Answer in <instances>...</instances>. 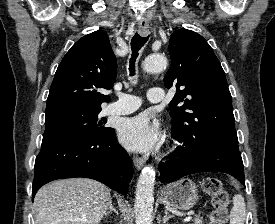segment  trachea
Masks as SVG:
<instances>
[{"label":"trachea","mask_w":275,"mask_h":224,"mask_svg":"<svg viewBox=\"0 0 275 224\" xmlns=\"http://www.w3.org/2000/svg\"><path fill=\"white\" fill-rule=\"evenodd\" d=\"M148 41V37H142L138 33H135L133 38L131 39V48H132V57L130 59V75H135V61L138 56V51L144 46V44Z\"/></svg>","instance_id":"3493384b"}]
</instances>
